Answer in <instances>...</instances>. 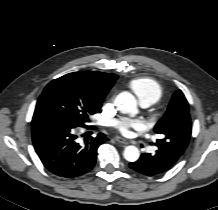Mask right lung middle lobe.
I'll use <instances>...</instances> for the list:
<instances>
[{"label":"right lung middle lobe","mask_w":218,"mask_h":210,"mask_svg":"<svg viewBox=\"0 0 218 210\" xmlns=\"http://www.w3.org/2000/svg\"><path fill=\"white\" fill-rule=\"evenodd\" d=\"M100 107L101 102L55 79L45 87L39 97L34 115H58L71 120L76 125L85 126L89 121V115L95 114Z\"/></svg>","instance_id":"1"}]
</instances>
